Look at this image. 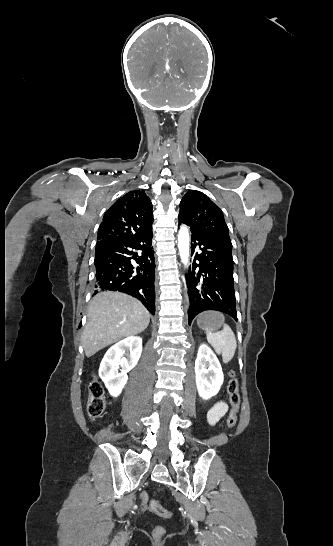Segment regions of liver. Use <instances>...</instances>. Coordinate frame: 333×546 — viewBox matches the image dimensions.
I'll return each instance as SVG.
<instances>
[{
	"label": "liver",
	"instance_id": "obj_1",
	"mask_svg": "<svg viewBox=\"0 0 333 546\" xmlns=\"http://www.w3.org/2000/svg\"><path fill=\"white\" fill-rule=\"evenodd\" d=\"M82 345L87 357L117 341L143 332L150 314L137 299L118 292H101L89 304Z\"/></svg>",
	"mask_w": 333,
	"mask_h": 546
}]
</instances>
